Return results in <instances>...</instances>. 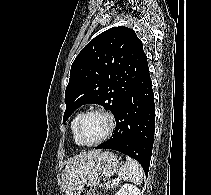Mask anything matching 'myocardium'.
I'll use <instances>...</instances> for the list:
<instances>
[{
  "mask_svg": "<svg viewBox=\"0 0 211 195\" xmlns=\"http://www.w3.org/2000/svg\"><path fill=\"white\" fill-rule=\"evenodd\" d=\"M92 113H99V114H102L103 116H105L108 120V129L105 132V134L97 141L92 142V143H85V142H82L79 138V127H80V124H81L83 118ZM115 127H116V118L111 111H109L105 108H101V107L91 108V109H88L85 112L81 113L80 116L78 117L76 126H75V138H76L77 142L79 143V145H81V146H85V147L97 146V145L103 143L104 141H106L113 134Z\"/></svg>",
  "mask_w": 211,
  "mask_h": 195,
  "instance_id": "myocardium-1",
  "label": "myocardium"
}]
</instances>
